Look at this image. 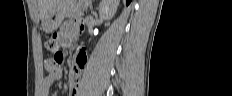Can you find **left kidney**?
Segmentation results:
<instances>
[{"instance_id":"left-kidney-1","label":"left kidney","mask_w":232,"mask_h":96,"mask_svg":"<svg viewBox=\"0 0 232 96\" xmlns=\"http://www.w3.org/2000/svg\"><path fill=\"white\" fill-rule=\"evenodd\" d=\"M120 0H102L99 5L100 17L105 20H110L114 17Z\"/></svg>"}]
</instances>
